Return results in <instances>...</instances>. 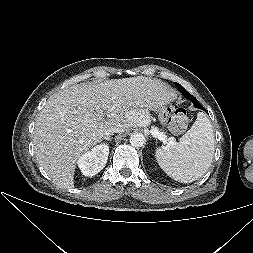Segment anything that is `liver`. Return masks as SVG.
Returning <instances> with one entry per match:
<instances>
[{
	"label": "liver",
	"instance_id": "obj_1",
	"mask_svg": "<svg viewBox=\"0 0 253 253\" xmlns=\"http://www.w3.org/2000/svg\"><path fill=\"white\" fill-rule=\"evenodd\" d=\"M176 98L164 82L143 76L67 87L47 100L35 123L37 162L57 186L73 188L78 159L107 130L146 126L148 110Z\"/></svg>",
	"mask_w": 253,
	"mask_h": 253
}]
</instances>
